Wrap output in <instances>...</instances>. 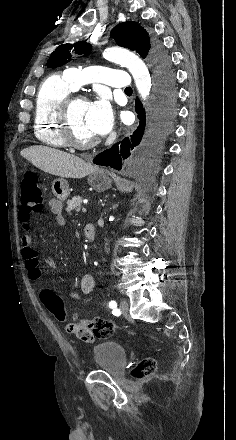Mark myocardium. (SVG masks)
Returning a JSON list of instances; mask_svg holds the SVG:
<instances>
[{"label": "myocardium", "instance_id": "obj_1", "mask_svg": "<svg viewBox=\"0 0 236 440\" xmlns=\"http://www.w3.org/2000/svg\"><path fill=\"white\" fill-rule=\"evenodd\" d=\"M78 101L88 102V98L84 94L70 92L59 103L56 111V119L59 124V133L67 146L76 149H90L98 144V138H93L87 141H79L73 133L70 114L73 105Z\"/></svg>", "mask_w": 236, "mask_h": 440}]
</instances>
